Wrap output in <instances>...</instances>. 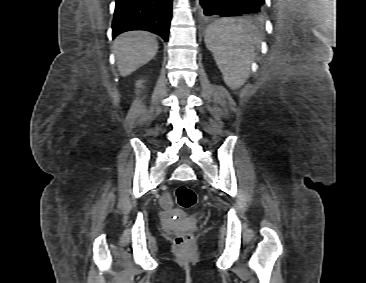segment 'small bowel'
I'll list each match as a JSON object with an SVG mask.
<instances>
[{
    "label": "small bowel",
    "mask_w": 366,
    "mask_h": 283,
    "mask_svg": "<svg viewBox=\"0 0 366 283\" xmlns=\"http://www.w3.org/2000/svg\"><path fill=\"white\" fill-rule=\"evenodd\" d=\"M162 202L165 206H168L170 204V199H169V196L167 194H164L162 196Z\"/></svg>",
    "instance_id": "c3829d8e"
}]
</instances>
